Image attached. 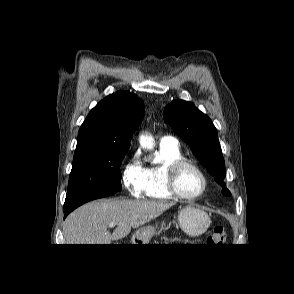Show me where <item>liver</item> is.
I'll return each instance as SVG.
<instances>
[{"label":"liver","mask_w":294,"mask_h":294,"mask_svg":"<svg viewBox=\"0 0 294 294\" xmlns=\"http://www.w3.org/2000/svg\"><path fill=\"white\" fill-rule=\"evenodd\" d=\"M174 204L150 200H101L73 211L63 224L65 244H111L126 237L131 228L148 223ZM116 223L113 233L109 223Z\"/></svg>","instance_id":"1"}]
</instances>
